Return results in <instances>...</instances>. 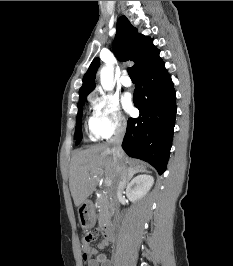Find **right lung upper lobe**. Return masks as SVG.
<instances>
[{
  "label": "right lung upper lobe",
  "mask_w": 233,
  "mask_h": 266,
  "mask_svg": "<svg viewBox=\"0 0 233 266\" xmlns=\"http://www.w3.org/2000/svg\"><path fill=\"white\" fill-rule=\"evenodd\" d=\"M112 48L120 61L135 62L133 66L135 73L159 55V50L152 44V39L139 34L125 16L118 19ZM99 65V58H95L83 77L79 99L85 98L95 88V75Z\"/></svg>",
  "instance_id": "cb5924a9"
}]
</instances>
